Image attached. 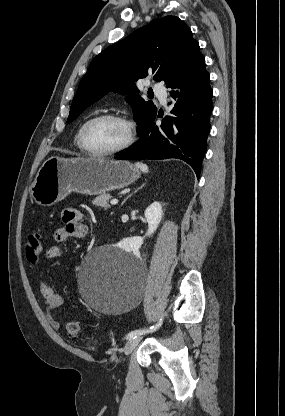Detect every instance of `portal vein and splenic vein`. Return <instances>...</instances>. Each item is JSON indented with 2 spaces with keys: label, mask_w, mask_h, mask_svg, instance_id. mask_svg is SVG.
Segmentation results:
<instances>
[{
  "label": "portal vein and splenic vein",
  "mask_w": 285,
  "mask_h": 416,
  "mask_svg": "<svg viewBox=\"0 0 285 416\" xmlns=\"http://www.w3.org/2000/svg\"><path fill=\"white\" fill-rule=\"evenodd\" d=\"M110 204H112V206H115V204H118V200H111Z\"/></svg>",
  "instance_id": "18ae733b"
}]
</instances>
